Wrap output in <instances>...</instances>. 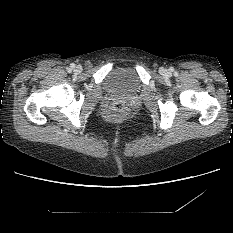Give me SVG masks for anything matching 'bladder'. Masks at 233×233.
<instances>
[{"instance_id":"bladder-1","label":"bladder","mask_w":233,"mask_h":233,"mask_svg":"<svg viewBox=\"0 0 233 233\" xmlns=\"http://www.w3.org/2000/svg\"><path fill=\"white\" fill-rule=\"evenodd\" d=\"M140 86L137 71L132 66L111 70L104 80V89L111 94L132 95Z\"/></svg>"}]
</instances>
